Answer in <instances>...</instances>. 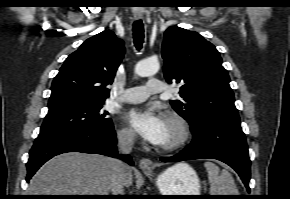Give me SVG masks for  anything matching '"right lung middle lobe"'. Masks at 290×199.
<instances>
[{
  "instance_id": "right-lung-middle-lobe-1",
  "label": "right lung middle lobe",
  "mask_w": 290,
  "mask_h": 199,
  "mask_svg": "<svg viewBox=\"0 0 290 199\" xmlns=\"http://www.w3.org/2000/svg\"><path fill=\"white\" fill-rule=\"evenodd\" d=\"M104 102L90 103L48 113L44 119L40 134L62 132L79 128H105L112 125L103 111Z\"/></svg>"
}]
</instances>
